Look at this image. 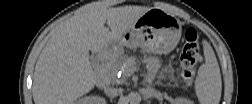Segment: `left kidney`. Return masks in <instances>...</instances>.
<instances>
[{
  "instance_id": "left-kidney-1",
  "label": "left kidney",
  "mask_w": 252,
  "mask_h": 104,
  "mask_svg": "<svg viewBox=\"0 0 252 104\" xmlns=\"http://www.w3.org/2000/svg\"><path fill=\"white\" fill-rule=\"evenodd\" d=\"M175 102L177 104H187L188 103V101L186 99H183V98H177V99H175Z\"/></svg>"
}]
</instances>
